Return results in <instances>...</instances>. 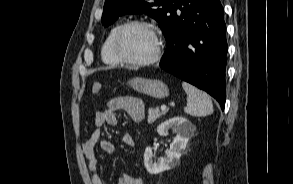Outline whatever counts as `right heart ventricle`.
<instances>
[{"label": "right heart ventricle", "instance_id": "1", "mask_svg": "<svg viewBox=\"0 0 293 184\" xmlns=\"http://www.w3.org/2000/svg\"><path fill=\"white\" fill-rule=\"evenodd\" d=\"M120 24H117L116 26H114L110 32L108 33V35L106 36L102 47H101V58L102 61L109 66H116L119 65L121 62L115 57V55L113 54L112 51V39L113 36L115 34V32L117 31V29L120 27Z\"/></svg>", "mask_w": 293, "mask_h": 184}]
</instances>
